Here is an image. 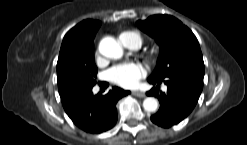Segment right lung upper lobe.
Returning <instances> with one entry per match:
<instances>
[{
    "label": "right lung upper lobe",
    "mask_w": 247,
    "mask_h": 145,
    "mask_svg": "<svg viewBox=\"0 0 247 145\" xmlns=\"http://www.w3.org/2000/svg\"><path fill=\"white\" fill-rule=\"evenodd\" d=\"M101 23L97 20H84L73 27L64 36L62 45L75 44L84 48L94 49V37Z\"/></svg>",
    "instance_id": "cb5924a9"
}]
</instances>
